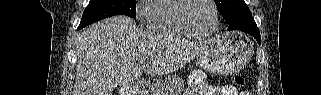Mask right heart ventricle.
<instances>
[{
    "label": "right heart ventricle",
    "instance_id": "obj_1",
    "mask_svg": "<svg viewBox=\"0 0 321 95\" xmlns=\"http://www.w3.org/2000/svg\"><path fill=\"white\" fill-rule=\"evenodd\" d=\"M181 2L182 0H154L147 20L148 29L174 35L193 36L176 20V10Z\"/></svg>",
    "mask_w": 321,
    "mask_h": 95
}]
</instances>
